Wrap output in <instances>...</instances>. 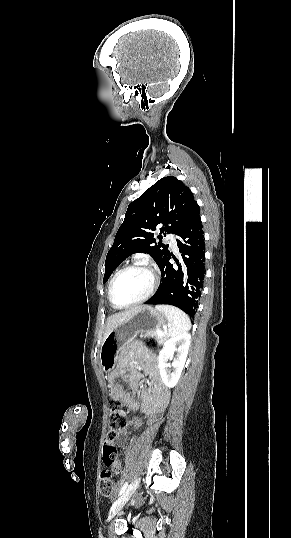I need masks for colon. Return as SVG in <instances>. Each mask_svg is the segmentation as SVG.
<instances>
[{
    "label": "colon",
    "mask_w": 291,
    "mask_h": 538,
    "mask_svg": "<svg viewBox=\"0 0 291 538\" xmlns=\"http://www.w3.org/2000/svg\"><path fill=\"white\" fill-rule=\"evenodd\" d=\"M145 345L150 349H155L158 342L154 338H147ZM127 423V408L119 401L111 399L109 403V432L103 448V461L112 468L116 463V448L114 440ZM114 473L106 470L101 473L99 479L100 493L105 497H110L115 491Z\"/></svg>",
    "instance_id": "5ec220e1"
}]
</instances>
